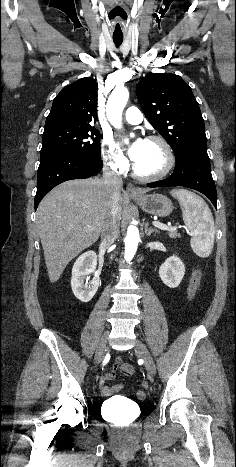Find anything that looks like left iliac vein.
<instances>
[{"label": "left iliac vein", "mask_w": 236, "mask_h": 467, "mask_svg": "<svg viewBox=\"0 0 236 467\" xmlns=\"http://www.w3.org/2000/svg\"><path fill=\"white\" fill-rule=\"evenodd\" d=\"M135 351L144 360V363H145V366H146V369H147L148 373L151 376H154L155 373H156V366H155L154 360H153L149 350L147 349L146 345L143 344L141 341L137 340L136 343H135Z\"/></svg>", "instance_id": "obj_1"}]
</instances>
